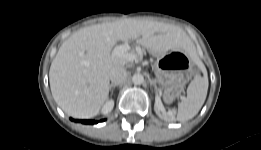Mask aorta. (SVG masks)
<instances>
[{
	"label": "aorta",
	"instance_id": "1",
	"mask_svg": "<svg viewBox=\"0 0 261 150\" xmlns=\"http://www.w3.org/2000/svg\"><path fill=\"white\" fill-rule=\"evenodd\" d=\"M144 81V77L142 74L138 73V74H134L133 77H132V82L135 84V85H140L142 84Z\"/></svg>",
	"mask_w": 261,
	"mask_h": 150
}]
</instances>
